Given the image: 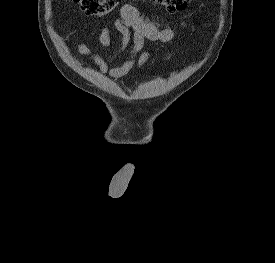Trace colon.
I'll return each instance as SVG.
<instances>
[{"mask_svg":"<svg viewBox=\"0 0 275 263\" xmlns=\"http://www.w3.org/2000/svg\"><path fill=\"white\" fill-rule=\"evenodd\" d=\"M190 0H156L169 13L183 12ZM80 5L81 10L89 15L106 16L113 12L121 0H72Z\"/></svg>","mask_w":275,"mask_h":263,"instance_id":"obj_1","label":"colon"}]
</instances>
